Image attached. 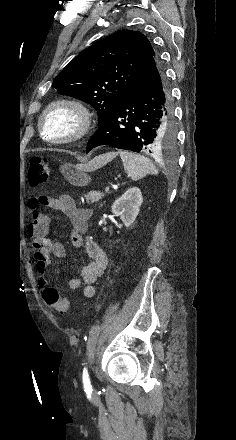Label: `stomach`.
Returning a JSON list of instances; mask_svg holds the SVG:
<instances>
[{
	"instance_id": "stomach-1",
	"label": "stomach",
	"mask_w": 236,
	"mask_h": 440,
	"mask_svg": "<svg viewBox=\"0 0 236 440\" xmlns=\"http://www.w3.org/2000/svg\"><path fill=\"white\" fill-rule=\"evenodd\" d=\"M112 156H115V154H112ZM94 162L95 160L87 165H72L65 163L59 167V171L70 184L78 187L86 186L91 181L88 172L97 168L94 166Z\"/></svg>"
}]
</instances>
